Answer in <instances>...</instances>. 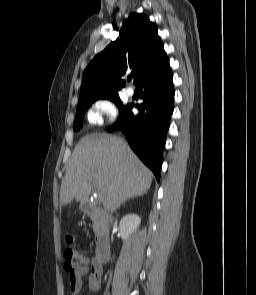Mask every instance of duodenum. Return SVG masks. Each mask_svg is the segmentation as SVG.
<instances>
[{"mask_svg":"<svg viewBox=\"0 0 256 295\" xmlns=\"http://www.w3.org/2000/svg\"><path fill=\"white\" fill-rule=\"evenodd\" d=\"M83 212L90 217L98 226V232L96 236V251L95 259L99 263L106 262L109 256V241L105 234V228L107 224V217L102 214L95 205L89 202H83L81 204Z\"/></svg>","mask_w":256,"mask_h":295,"instance_id":"410a0bca","label":"duodenum"}]
</instances>
